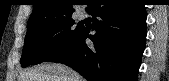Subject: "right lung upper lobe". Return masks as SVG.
Here are the masks:
<instances>
[{
	"label": "right lung upper lobe",
	"instance_id": "obj_1",
	"mask_svg": "<svg viewBox=\"0 0 169 81\" xmlns=\"http://www.w3.org/2000/svg\"><path fill=\"white\" fill-rule=\"evenodd\" d=\"M74 0H34L33 12L28 20V24L36 21L70 16L73 13ZM90 7L86 10L89 11Z\"/></svg>",
	"mask_w": 169,
	"mask_h": 81
}]
</instances>
